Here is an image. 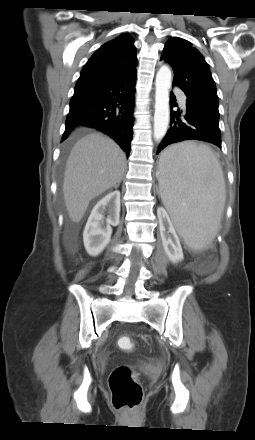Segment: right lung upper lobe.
<instances>
[{"mask_svg": "<svg viewBox=\"0 0 255 440\" xmlns=\"http://www.w3.org/2000/svg\"><path fill=\"white\" fill-rule=\"evenodd\" d=\"M134 39L128 34L102 45L84 65L76 90L95 87L136 70L137 56Z\"/></svg>", "mask_w": 255, "mask_h": 440, "instance_id": "right-lung-upper-lobe-1", "label": "right lung upper lobe"}]
</instances>
